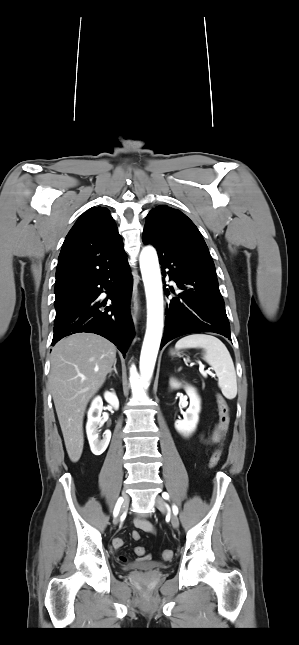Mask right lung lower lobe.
I'll return each mask as SVG.
<instances>
[{"instance_id": "right-lung-lower-lobe-1", "label": "right lung lower lobe", "mask_w": 299, "mask_h": 645, "mask_svg": "<svg viewBox=\"0 0 299 645\" xmlns=\"http://www.w3.org/2000/svg\"><path fill=\"white\" fill-rule=\"evenodd\" d=\"M79 287V294L56 311L51 345L74 333H95L114 343L125 357L134 336L130 314L132 277L127 257L116 268ZM103 289L112 295V304L104 312L101 308L105 303L98 298Z\"/></svg>"}]
</instances>
